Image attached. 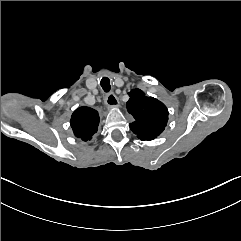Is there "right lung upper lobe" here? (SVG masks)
<instances>
[{
  "mask_svg": "<svg viewBox=\"0 0 241 241\" xmlns=\"http://www.w3.org/2000/svg\"><path fill=\"white\" fill-rule=\"evenodd\" d=\"M99 116L96 110L89 107H80L71 117V127L76 137L83 141L90 140L98 130Z\"/></svg>",
  "mask_w": 241,
  "mask_h": 241,
  "instance_id": "cb5924a9",
  "label": "right lung upper lobe"
}]
</instances>
